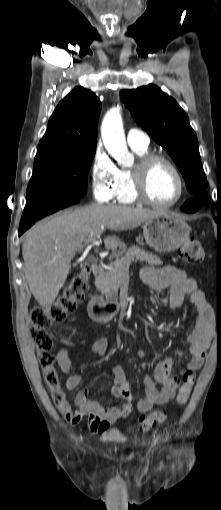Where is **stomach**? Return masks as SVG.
Returning a JSON list of instances; mask_svg holds the SVG:
<instances>
[{
    "mask_svg": "<svg viewBox=\"0 0 221 510\" xmlns=\"http://www.w3.org/2000/svg\"><path fill=\"white\" fill-rule=\"evenodd\" d=\"M143 235L150 247L161 253H170L188 240L190 227L180 217L164 212L145 221ZM119 245L117 255H121L125 249L123 243Z\"/></svg>",
    "mask_w": 221,
    "mask_h": 510,
    "instance_id": "stomach-1",
    "label": "stomach"
}]
</instances>
